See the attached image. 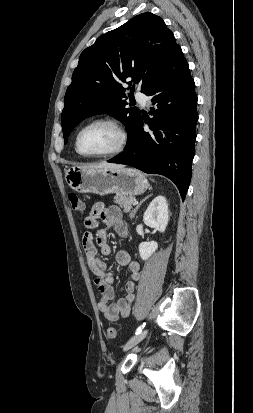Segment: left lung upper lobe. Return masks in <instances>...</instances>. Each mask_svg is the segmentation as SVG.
I'll use <instances>...</instances> for the list:
<instances>
[{"label":"left lung upper lobe","mask_w":253,"mask_h":413,"mask_svg":"<svg viewBox=\"0 0 253 413\" xmlns=\"http://www.w3.org/2000/svg\"><path fill=\"white\" fill-rule=\"evenodd\" d=\"M180 46L161 17L146 12L100 36L80 55L67 88L61 125L65 144L73 128L83 119L108 113L126 126L129 138L136 136L141 113L128 108L123 83L141 86L147 93L167 69ZM131 88L129 99L133 96Z\"/></svg>","instance_id":"left-lung-upper-lobe-1"}]
</instances>
